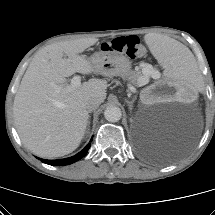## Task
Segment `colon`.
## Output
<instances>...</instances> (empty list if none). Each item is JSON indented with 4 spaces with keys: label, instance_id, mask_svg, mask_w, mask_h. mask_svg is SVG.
Instances as JSON below:
<instances>
[{
    "label": "colon",
    "instance_id": "1",
    "mask_svg": "<svg viewBox=\"0 0 215 215\" xmlns=\"http://www.w3.org/2000/svg\"><path fill=\"white\" fill-rule=\"evenodd\" d=\"M102 49L105 51L124 53L132 59L141 58L146 53L144 46L135 35L116 37L104 43Z\"/></svg>",
    "mask_w": 215,
    "mask_h": 215
}]
</instances>
